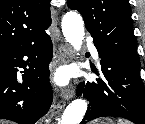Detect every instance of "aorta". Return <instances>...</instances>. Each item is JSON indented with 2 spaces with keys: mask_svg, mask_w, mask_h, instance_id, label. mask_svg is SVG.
<instances>
[{
  "mask_svg": "<svg viewBox=\"0 0 145 124\" xmlns=\"http://www.w3.org/2000/svg\"><path fill=\"white\" fill-rule=\"evenodd\" d=\"M62 32L66 41L76 50L81 49L85 35L84 22L77 12H67L62 18ZM87 110V103L82 99L72 101L65 109L60 124H79Z\"/></svg>",
  "mask_w": 145,
  "mask_h": 124,
  "instance_id": "aorta-1",
  "label": "aorta"
}]
</instances>
